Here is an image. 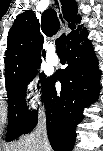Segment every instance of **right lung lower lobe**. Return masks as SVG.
<instances>
[{"instance_id":"obj_1","label":"right lung lower lobe","mask_w":103,"mask_h":151,"mask_svg":"<svg viewBox=\"0 0 103 151\" xmlns=\"http://www.w3.org/2000/svg\"><path fill=\"white\" fill-rule=\"evenodd\" d=\"M87 30L82 31L67 45L68 66L54 73L43 96L46 109L47 134L54 151H71L75 143L76 125L83 119V110L96 98L100 71L97 69ZM59 79L60 92L55 89ZM37 116L24 134L32 131Z\"/></svg>"}]
</instances>
